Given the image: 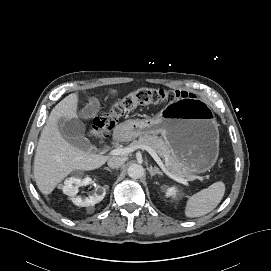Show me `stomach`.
I'll return each mask as SVG.
<instances>
[{"label": "stomach", "mask_w": 271, "mask_h": 271, "mask_svg": "<svg viewBox=\"0 0 271 271\" xmlns=\"http://www.w3.org/2000/svg\"><path fill=\"white\" fill-rule=\"evenodd\" d=\"M116 133L126 140L161 134L189 174L204 173L217 161L218 124L210 107L198 99L171 101L152 118L118 125Z\"/></svg>", "instance_id": "stomach-1"}]
</instances>
